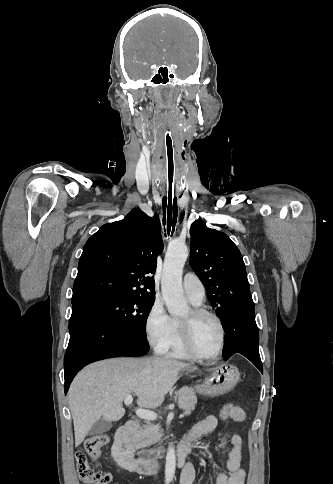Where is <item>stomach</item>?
<instances>
[{"mask_svg":"<svg viewBox=\"0 0 333 484\" xmlns=\"http://www.w3.org/2000/svg\"><path fill=\"white\" fill-rule=\"evenodd\" d=\"M240 379L238 368L229 363H221L205 374L202 385L194 389L202 394L218 397L230 392Z\"/></svg>","mask_w":333,"mask_h":484,"instance_id":"stomach-1","label":"stomach"}]
</instances>
